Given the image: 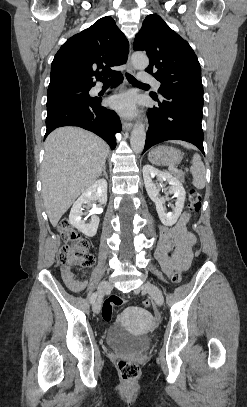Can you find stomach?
<instances>
[{
    "mask_svg": "<svg viewBox=\"0 0 247 407\" xmlns=\"http://www.w3.org/2000/svg\"><path fill=\"white\" fill-rule=\"evenodd\" d=\"M148 159L155 165H178L183 159V154L174 147L158 146L149 152Z\"/></svg>",
    "mask_w": 247,
    "mask_h": 407,
    "instance_id": "stomach-1",
    "label": "stomach"
}]
</instances>
